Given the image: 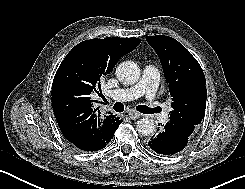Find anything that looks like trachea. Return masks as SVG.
<instances>
[{
	"label": "trachea",
	"mask_w": 245,
	"mask_h": 189,
	"mask_svg": "<svg viewBox=\"0 0 245 189\" xmlns=\"http://www.w3.org/2000/svg\"><path fill=\"white\" fill-rule=\"evenodd\" d=\"M104 101L105 103L104 104H107L108 101L104 98ZM113 109L116 111V112H123L124 111V105L123 103L121 102H116L114 105H113ZM136 109L141 112V113H144V114H153L155 112H158V108H149L148 106H145V105H138L136 107Z\"/></svg>",
	"instance_id": "obj_1"
}]
</instances>
